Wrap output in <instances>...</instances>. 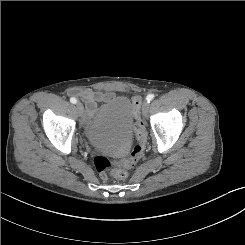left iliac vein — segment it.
Listing matches in <instances>:
<instances>
[{
	"label": "left iliac vein",
	"mask_w": 245,
	"mask_h": 245,
	"mask_svg": "<svg viewBox=\"0 0 245 245\" xmlns=\"http://www.w3.org/2000/svg\"><path fill=\"white\" fill-rule=\"evenodd\" d=\"M149 112V103L147 101H144L142 105V113L144 116H147Z\"/></svg>",
	"instance_id": "left-iliac-vein-1"
}]
</instances>
